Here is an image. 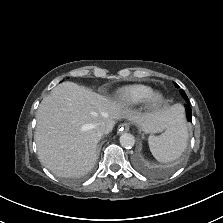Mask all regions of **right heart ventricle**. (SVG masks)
Returning <instances> with one entry per match:
<instances>
[{
  "instance_id": "1",
  "label": "right heart ventricle",
  "mask_w": 223,
  "mask_h": 223,
  "mask_svg": "<svg viewBox=\"0 0 223 223\" xmlns=\"http://www.w3.org/2000/svg\"><path fill=\"white\" fill-rule=\"evenodd\" d=\"M152 88L143 84L122 87L116 93L117 101L124 106H136L142 103Z\"/></svg>"
}]
</instances>
